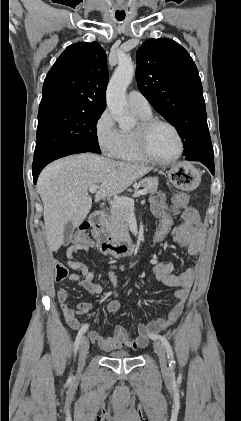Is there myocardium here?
<instances>
[{
    "label": "myocardium",
    "instance_id": "f54148a6",
    "mask_svg": "<svg viewBox=\"0 0 241 421\" xmlns=\"http://www.w3.org/2000/svg\"><path fill=\"white\" fill-rule=\"evenodd\" d=\"M158 125H165L173 130L175 133L178 143L179 149L178 152L171 158L168 159H160L156 157L149 146V137L151 131ZM135 138L138 145L140 152L143 154L145 158L149 161L160 164V165H168L177 161L184 152V140L179 131V129L170 121L159 119V118H149L147 120L141 121L137 127L135 128Z\"/></svg>",
    "mask_w": 241,
    "mask_h": 421
}]
</instances>
